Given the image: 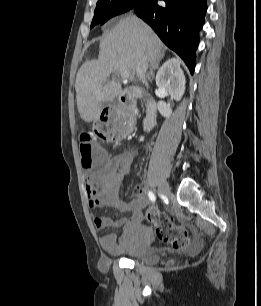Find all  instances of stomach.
I'll return each instance as SVG.
<instances>
[{"label":"stomach","instance_id":"1","mask_svg":"<svg viewBox=\"0 0 261 306\" xmlns=\"http://www.w3.org/2000/svg\"><path fill=\"white\" fill-rule=\"evenodd\" d=\"M98 119H99V117H98ZM133 128H134V119L130 116H127L125 118L124 124L122 126L120 135L122 137L127 136L129 133L132 132Z\"/></svg>","mask_w":261,"mask_h":306}]
</instances>
